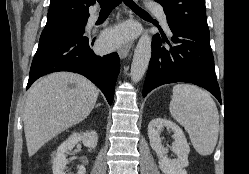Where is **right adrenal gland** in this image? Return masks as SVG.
<instances>
[{
    "mask_svg": "<svg viewBox=\"0 0 249 174\" xmlns=\"http://www.w3.org/2000/svg\"><path fill=\"white\" fill-rule=\"evenodd\" d=\"M100 106H101V104H100V103H98V104L96 105V108H97V107H100Z\"/></svg>",
    "mask_w": 249,
    "mask_h": 174,
    "instance_id": "obj_1",
    "label": "right adrenal gland"
}]
</instances>
